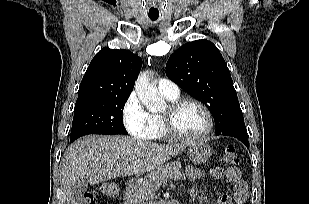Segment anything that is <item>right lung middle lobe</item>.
Returning a JSON list of instances; mask_svg holds the SVG:
<instances>
[{
	"label": "right lung middle lobe",
	"instance_id": "right-lung-middle-lobe-1",
	"mask_svg": "<svg viewBox=\"0 0 309 204\" xmlns=\"http://www.w3.org/2000/svg\"><path fill=\"white\" fill-rule=\"evenodd\" d=\"M129 96H109L76 103L70 140L88 134L127 135L122 113Z\"/></svg>",
	"mask_w": 309,
	"mask_h": 204
}]
</instances>
